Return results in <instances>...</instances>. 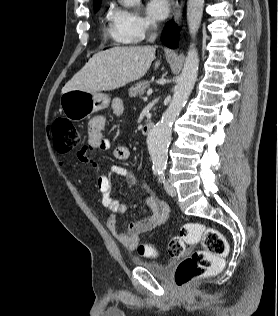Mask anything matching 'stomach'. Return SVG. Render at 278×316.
Listing matches in <instances>:
<instances>
[{
	"instance_id": "1",
	"label": "stomach",
	"mask_w": 278,
	"mask_h": 316,
	"mask_svg": "<svg viewBox=\"0 0 278 316\" xmlns=\"http://www.w3.org/2000/svg\"><path fill=\"white\" fill-rule=\"evenodd\" d=\"M110 98L103 93H88L80 90H71L62 93L60 109L71 121H80L92 113L109 106Z\"/></svg>"
}]
</instances>
